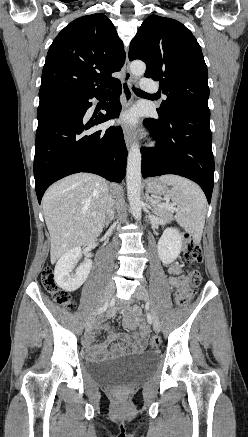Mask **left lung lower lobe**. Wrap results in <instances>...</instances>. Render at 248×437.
Returning a JSON list of instances; mask_svg holds the SVG:
<instances>
[{"instance_id": "1", "label": "left lung lower lobe", "mask_w": 248, "mask_h": 437, "mask_svg": "<svg viewBox=\"0 0 248 437\" xmlns=\"http://www.w3.org/2000/svg\"><path fill=\"white\" fill-rule=\"evenodd\" d=\"M210 110L179 108L144 124L156 139L153 149H141L142 176L176 174L196 182L208 203L213 191L214 157L210 130Z\"/></svg>"}]
</instances>
